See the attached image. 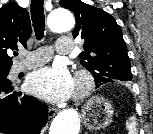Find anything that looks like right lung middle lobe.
Returning a JSON list of instances; mask_svg holds the SVG:
<instances>
[{
    "mask_svg": "<svg viewBox=\"0 0 153 134\" xmlns=\"http://www.w3.org/2000/svg\"><path fill=\"white\" fill-rule=\"evenodd\" d=\"M8 73H9V69L0 70V78L7 79ZM7 80H8V79H7Z\"/></svg>",
    "mask_w": 153,
    "mask_h": 134,
    "instance_id": "1",
    "label": "right lung middle lobe"
}]
</instances>
